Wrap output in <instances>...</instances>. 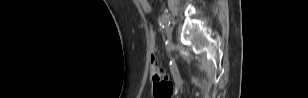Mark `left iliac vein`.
Masks as SVG:
<instances>
[{"label": "left iliac vein", "instance_id": "left-iliac-vein-1", "mask_svg": "<svg viewBox=\"0 0 308 98\" xmlns=\"http://www.w3.org/2000/svg\"><path fill=\"white\" fill-rule=\"evenodd\" d=\"M165 33L168 37L172 36L173 28L171 26L166 27Z\"/></svg>", "mask_w": 308, "mask_h": 98}]
</instances>
